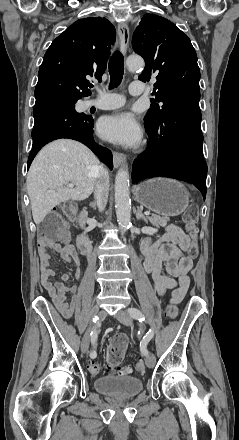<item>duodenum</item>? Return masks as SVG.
<instances>
[{
	"instance_id": "duodenum-1",
	"label": "duodenum",
	"mask_w": 239,
	"mask_h": 440,
	"mask_svg": "<svg viewBox=\"0 0 239 440\" xmlns=\"http://www.w3.org/2000/svg\"><path fill=\"white\" fill-rule=\"evenodd\" d=\"M87 218L88 212L87 210L83 209L80 212L78 218L79 226L82 230V233L78 236L77 245L83 255L89 256L91 254L92 244L88 234L85 232Z\"/></svg>"
}]
</instances>
